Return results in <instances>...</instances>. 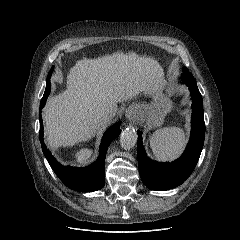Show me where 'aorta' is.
<instances>
[{
    "label": "aorta",
    "mask_w": 240,
    "mask_h": 240,
    "mask_svg": "<svg viewBox=\"0 0 240 240\" xmlns=\"http://www.w3.org/2000/svg\"><path fill=\"white\" fill-rule=\"evenodd\" d=\"M137 142V133L135 130L126 129L120 135V145L125 150H130Z\"/></svg>",
    "instance_id": "aorta-1"
}]
</instances>
